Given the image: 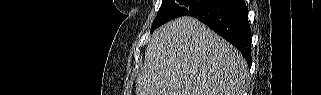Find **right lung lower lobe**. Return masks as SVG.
<instances>
[{
    "label": "right lung lower lobe",
    "instance_id": "1",
    "mask_svg": "<svg viewBox=\"0 0 321 95\" xmlns=\"http://www.w3.org/2000/svg\"><path fill=\"white\" fill-rule=\"evenodd\" d=\"M193 16L233 44L251 67V29L244 0H211Z\"/></svg>",
    "mask_w": 321,
    "mask_h": 95
}]
</instances>
